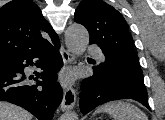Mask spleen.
I'll return each instance as SVG.
<instances>
[{
    "label": "spleen",
    "mask_w": 165,
    "mask_h": 120,
    "mask_svg": "<svg viewBox=\"0 0 165 120\" xmlns=\"http://www.w3.org/2000/svg\"><path fill=\"white\" fill-rule=\"evenodd\" d=\"M105 112L113 120H148V117L135 105L124 101L106 103L96 110V113Z\"/></svg>",
    "instance_id": "spleen-1"
}]
</instances>
